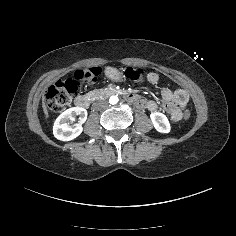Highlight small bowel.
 <instances>
[{
	"label": "small bowel",
	"mask_w": 236,
	"mask_h": 236,
	"mask_svg": "<svg viewBox=\"0 0 236 236\" xmlns=\"http://www.w3.org/2000/svg\"><path fill=\"white\" fill-rule=\"evenodd\" d=\"M158 80L157 75H153L150 79V82L155 83ZM163 95L167 97L169 95L168 90H164ZM175 97H177V114L173 118L174 120H179L181 117V109L187 104L188 101V95L183 90H178L175 93Z\"/></svg>",
	"instance_id": "small-bowel-1"
}]
</instances>
